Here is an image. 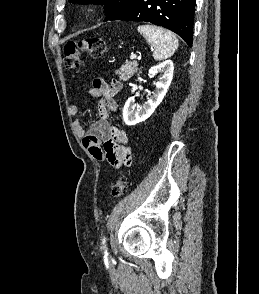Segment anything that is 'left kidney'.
I'll list each match as a JSON object with an SVG mask.
<instances>
[{
    "mask_svg": "<svg viewBox=\"0 0 259 294\" xmlns=\"http://www.w3.org/2000/svg\"><path fill=\"white\" fill-rule=\"evenodd\" d=\"M173 62L166 60L159 65L151 67L148 71L150 77L160 73V78L155 83V92L147 99L143 106L135 103L134 97L128 98L123 109V119L126 125L132 126L148 119L155 111L157 106L162 102L173 78ZM137 90V86H133L132 93Z\"/></svg>",
    "mask_w": 259,
    "mask_h": 294,
    "instance_id": "5707ae66",
    "label": "left kidney"
}]
</instances>
